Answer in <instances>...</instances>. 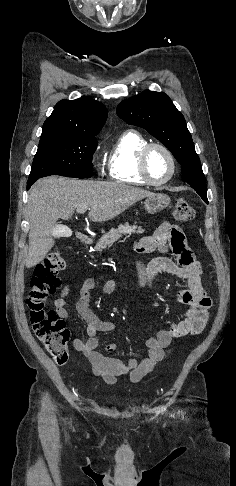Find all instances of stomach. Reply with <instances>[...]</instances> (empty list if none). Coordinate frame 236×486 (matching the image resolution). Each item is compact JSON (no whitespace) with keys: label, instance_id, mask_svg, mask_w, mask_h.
Returning <instances> with one entry per match:
<instances>
[{"label":"stomach","instance_id":"stomach-1","mask_svg":"<svg viewBox=\"0 0 236 486\" xmlns=\"http://www.w3.org/2000/svg\"><path fill=\"white\" fill-rule=\"evenodd\" d=\"M170 204V197L163 193H153L148 196L144 202L145 210L148 213H157L162 211Z\"/></svg>","mask_w":236,"mask_h":486}]
</instances>
